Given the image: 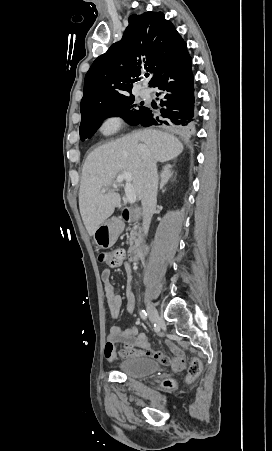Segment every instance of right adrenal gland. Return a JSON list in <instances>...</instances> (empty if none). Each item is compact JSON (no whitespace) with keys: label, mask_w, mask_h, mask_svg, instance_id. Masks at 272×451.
<instances>
[{"label":"right adrenal gland","mask_w":272,"mask_h":451,"mask_svg":"<svg viewBox=\"0 0 272 451\" xmlns=\"http://www.w3.org/2000/svg\"><path fill=\"white\" fill-rule=\"evenodd\" d=\"M172 166H168V168H165L164 172L161 174V182L159 186V190H163V186L167 184L169 178H171L173 172H171Z\"/></svg>","instance_id":"2a0ac1e0"}]
</instances>
